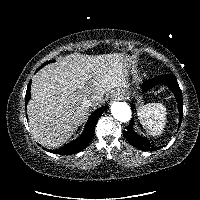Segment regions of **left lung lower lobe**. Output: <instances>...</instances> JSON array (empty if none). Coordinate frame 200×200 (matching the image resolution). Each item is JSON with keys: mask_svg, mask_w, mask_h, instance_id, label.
I'll list each match as a JSON object with an SVG mask.
<instances>
[{"mask_svg": "<svg viewBox=\"0 0 200 200\" xmlns=\"http://www.w3.org/2000/svg\"><path fill=\"white\" fill-rule=\"evenodd\" d=\"M161 83L165 84L174 93L176 97L179 109V126H180L183 117L182 93L178 85V82L173 75H161L145 81L143 85V92H147V90H150L157 84ZM132 106L134 107V104H132ZM123 134L131 145L143 151H153L158 149V147L153 146L147 138L140 136L134 131L133 122H131V124H129L126 127V130L123 131Z\"/></svg>", "mask_w": 200, "mask_h": 200, "instance_id": "obj_1", "label": "left lung lower lobe"}]
</instances>
